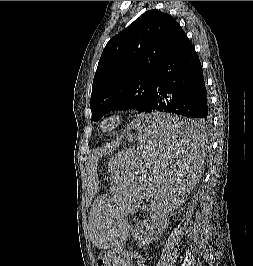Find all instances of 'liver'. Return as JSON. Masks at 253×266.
<instances>
[{
	"label": "liver",
	"instance_id": "6515ba94",
	"mask_svg": "<svg viewBox=\"0 0 253 266\" xmlns=\"http://www.w3.org/2000/svg\"><path fill=\"white\" fill-rule=\"evenodd\" d=\"M119 143H120V140H118V141H116V142H114L112 144L107 145L103 149H100V150L95 151L94 152V155H92V156L89 157L88 164H90L93 160L94 161H97L99 159V157H101L102 155H105L107 153H110L112 150L115 149V147H117L119 145Z\"/></svg>",
	"mask_w": 253,
	"mask_h": 266
}]
</instances>
